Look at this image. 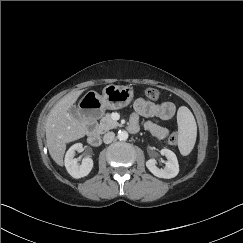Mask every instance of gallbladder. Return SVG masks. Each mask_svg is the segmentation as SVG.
Wrapping results in <instances>:
<instances>
[{"label": "gallbladder", "mask_w": 243, "mask_h": 243, "mask_svg": "<svg viewBox=\"0 0 243 243\" xmlns=\"http://www.w3.org/2000/svg\"><path fill=\"white\" fill-rule=\"evenodd\" d=\"M69 113L73 116H77L78 115V108L75 105L71 106L70 109H69Z\"/></svg>", "instance_id": "bac80fb5"}]
</instances>
